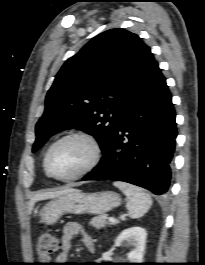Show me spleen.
Masks as SVG:
<instances>
[{
	"label": "spleen",
	"instance_id": "spleen-1",
	"mask_svg": "<svg viewBox=\"0 0 205 265\" xmlns=\"http://www.w3.org/2000/svg\"><path fill=\"white\" fill-rule=\"evenodd\" d=\"M114 186L126 195V207L130 218H140L148 212L152 199L142 188L119 181L114 182Z\"/></svg>",
	"mask_w": 205,
	"mask_h": 265
}]
</instances>
